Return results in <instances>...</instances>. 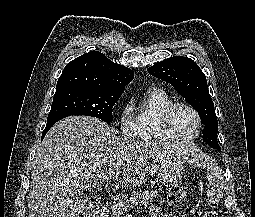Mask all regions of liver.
I'll return each mask as SVG.
<instances>
[{"label": "liver", "instance_id": "6515ba94", "mask_svg": "<svg viewBox=\"0 0 255 217\" xmlns=\"http://www.w3.org/2000/svg\"><path fill=\"white\" fill-rule=\"evenodd\" d=\"M189 144L136 142L87 116H70L46 134L35 156L28 197L29 217H79L85 189L99 188L120 172L121 187L144 184L170 156L197 158Z\"/></svg>", "mask_w": 255, "mask_h": 217}]
</instances>
